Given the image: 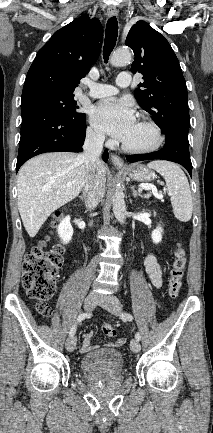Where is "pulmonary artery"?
Wrapping results in <instances>:
<instances>
[{
	"mask_svg": "<svg viewBox=\"0 0 213 433\" xmlns=\"http://www.w3.org/2000/svg\"><path fill=\"white\" fill-rule=\"evenodd\" d=\"M131 77L127 72H122L116 79V85L120 88H126L130 85ZM89 91L86 95L92 98H104L118 93V88L108 84L86 82Z\"/></svg>",
	"mask_w": 213,
	"mask_h": 433,
	"instance_id": "obj_1",
	"label": "pulmonary artery"
}]
</instances>
